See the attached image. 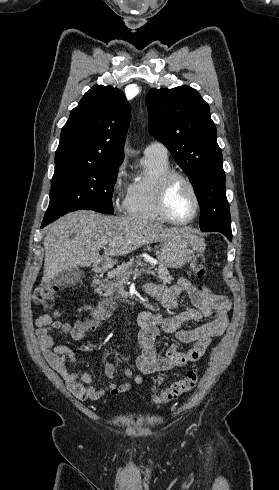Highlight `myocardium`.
I'll list each match as a JSON object with an SVG mask.
<instances>
[{"mask_svg": "<svg viewBox=\"0 0 279 490\" xmlns=\"http://www.w3.org/2000/svg\"><path fill=\"white\" fill-rule=\"evenodd\" d=\"M178 181H184L188 184L190 187L193 198H194V210L192 215L186 219V220H177L174 218L171 214L170 208H169V198L170 194L172 192L173 187ZM157 203H158V208L161 213V215L169 222L176 224V225H186L191 223L198 215L199 209H200V198H199V193L196 184L194 181L185 173L180 172V171H174L171 170L167 173H165L161 180H160V185H159V192H158V197H157Z\"/></svg>", "mask_w": 279, "mask_h": 490, "instance_id": "myocardium-1", "label": "myocardium"}]
</instances>
